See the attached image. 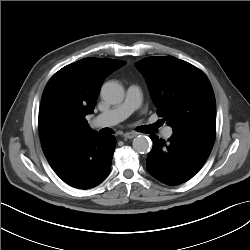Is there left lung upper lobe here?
<instances>
[{"label":"left lung upper lobe","instance_id":"obj_1","mask_svg":"<svg viewBox=\"0 0 250 250\" xmlns=\"http://www.w3.org/2000/svg\"><path fill=\"white\" fill-rule=\"evenodd\" d=\"M157 113L173 132H216L215 97L206 75L172 56L147 57L137 63Z\"/></svg>","mask_w":250,"mask_h":250}]
</instances>
